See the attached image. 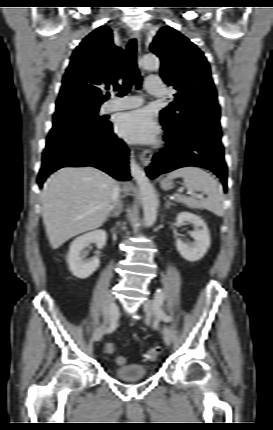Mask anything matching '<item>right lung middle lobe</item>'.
<instances>
[{"label":"right lung middle lobe","instance_id":"1","mask_svg":"<svg viewBox=\"0 0 273 430\" xmlns=\"http://www.w3.org/2000/svg\"><path fill=\"white\" fill-rule=\"evenodd\" d=\"M99 107L98 104L81 100H71L57 106L46 146L91 137L109 128L111 123L97 114Z\"/></svg>","mask_w":273,"mask_h":430}]
</instances>
